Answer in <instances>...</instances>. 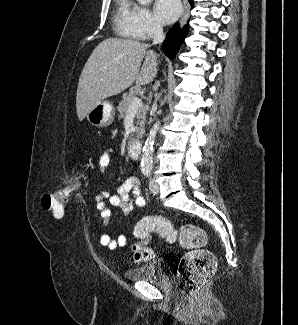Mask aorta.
<instances>
[{
    "instance_id": "aorta-1",
    "label": "aorta",
    "mask_w": 298,
    "mask_h": 325,
    "mask_svg": "<svg viewBox=\"0 0 298 325\" xmlns=\"http://www.w3.org/2000/svg\"><path fill=\"white\" fill-rule=\"evenodd\" d=\"M143 6H147L150 4L152 0H137ZM160 128V120H157L155 124H153L151 130H149V134L145 140V144L143 146V154L141 158V171L142 173H151L153 169V144L155 142V136L157 134V130Z\"/></svg>"
}]
</instances>
